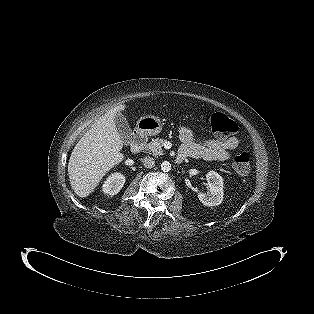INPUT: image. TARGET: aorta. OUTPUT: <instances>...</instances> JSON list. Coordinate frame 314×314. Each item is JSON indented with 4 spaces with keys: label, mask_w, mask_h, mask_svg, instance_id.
Here are the masks:
<instances>
[{
    "label": "aorta",
    "mask_w": 314,
    "mask_h": 314,
    "mask_svg": "<svg viewBox=\"0 0 314 314\" xmlns=\"http://www.w3.org/2000/svg\"><path fill=\"white\" fill-rule=\"evenodd\" d=\"M161 169L163 172H169L171 170V164L168 161H164L161 164Z\"/></svg>",
    "instance_id": "obj_1"
}]
</instances>
